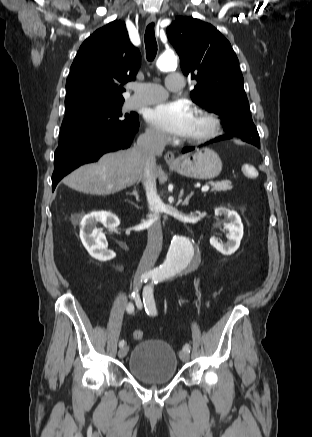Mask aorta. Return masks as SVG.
Wrapping results in <instances>:
<instances>
[{
    "mask_svg": "<svg viewBox=\"0 0 312 437\" xmlns=\"http://www.w3.org/2000/svg\"><path fill=\"white\" fill-rule=\"evenodd\" d=\"M161 71H170L177 67V57L173 53H164L157 60ZM198 257L193 243L186 237L175 235L159 272L165 276H173L186 269Z\"/></svg>",
    "mask_w": 312,
    "mask_h": 437,
    "instance_id": "1",
    "label": "aorta"
}]
</instances>
